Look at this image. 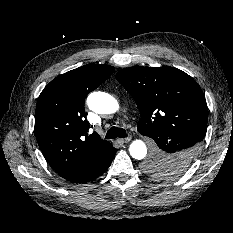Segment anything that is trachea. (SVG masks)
I'll list each match as a JSON object with an SVG mask.
<instances>
[{
    "instance_id": "trachea-1",
    "label": "trachea",
    "mask_w": 233,
    "mask_h": 233,
    "mask_svg": "<svg viewBox=\"0 0 233 233\" xmlns=\"http://www.w3.org/2000/svg\"><path fill=\"white\" fill-rule=\"evenodd\" d=\"M117 137H120V138L127 137V133H126L125 129L119 128V127H115V126L111 127L107 131L106 136H105L106 139H115Z\"/></svg>"
}]
</instances>
